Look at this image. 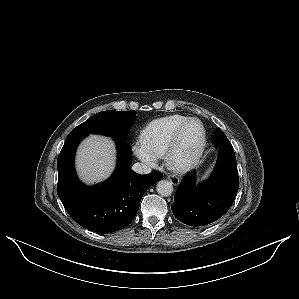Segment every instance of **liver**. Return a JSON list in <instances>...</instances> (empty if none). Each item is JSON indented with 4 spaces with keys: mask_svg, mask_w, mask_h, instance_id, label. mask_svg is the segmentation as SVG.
Masks as SVG:
<instances>
[{
    "mask_svg": "<svg viewBox=\"0 0 299 299\" xmlns=\"http://www.w3.org/2000/svg\"><path fill=\"white\" fill-rule=\"evenodd\" d=\"M116 148L106 136L90 135L79 146L76 155V168L79 177L93 184L108 178L114 170Z\"/></svg>",
    "mask_w": 299,
    "mask_h": 299,
    "instance_id": "1",
    "label": "liver"
}]
</instances>
